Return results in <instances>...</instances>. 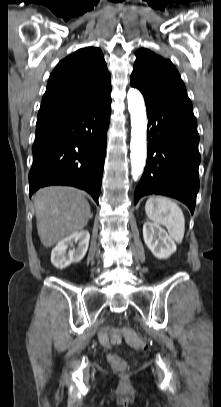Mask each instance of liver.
<instances>
[{
    "instance_id": "obj_1",
    "label": "liver",
    "mask_w": 221,
    "mask_h": 407,
    "mask_svg": "<svg viewBox=\"0 0 221 407\" xmlns=\"http://www.w3.org/2000/svg\"><path fill=\"white\" fill-rule=\"evenodd\" d=\"M34 206L37 232L47 248L82 230L92 217L83 193L72 187L41 188L35 194Z\"/></svg>"
}]
</instances>
